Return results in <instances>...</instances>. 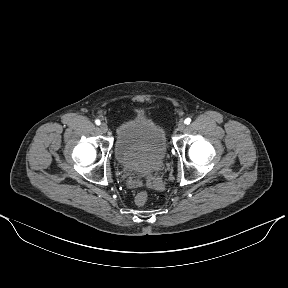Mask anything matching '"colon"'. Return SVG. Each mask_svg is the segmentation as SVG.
I'll list each match as a JSON object with an SVG mask.
<instances>
[{"mask_svg": "<svg viewBox=\"0 0 288 288\" xmlns=\"http://www.w3.org/2000/svg\"><path fill=\"white\" fill-rule=\"evenodd\" d=\"M135 202L138 206H144L148 202V194L144 191L139 192L135 197Z\"/></svg>", "mask_w": 288, "mask_h": 288, "instance_id": "colon-1", "label": "colon"}]
</instances>
